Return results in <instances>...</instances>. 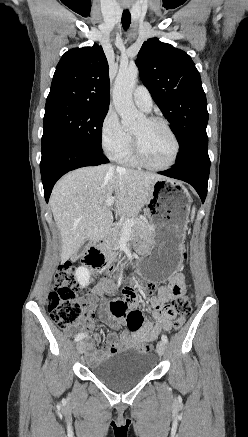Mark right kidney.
I'll return each instance as SVG.
<instances>
[{"label":"right kidney","instance_id":"right-kidney-1","mask_svg":"<svg viewBox=\"0 0 248 437\" xmlns=\"http://www.w3.org/2000/svg\"><path fill=\"white\" fill-rule=\"evenodd\" d=\"M75 276L81 286H86L89 283L90 272L86 267H79L75 271Z\"/></svg>","mask_w":248,"mask_h":437}]
</instances>
